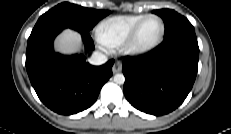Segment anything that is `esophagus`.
<instances>
[{"label":"esophagus","instance_id":"1","mask_svg":"<svg viewBox=\"0 0 231 134\" xmlns=\"http://www.w3.org/2000/svg\"><path fill=\"white\" fill-rule=\"evenodd\" d=\"M122 70V63L120 61H116L112 67L113 73H118Z\"/></svg>","mask_w":231,"mask_h":134}]
</instances>
